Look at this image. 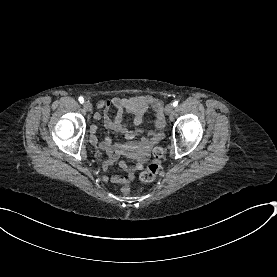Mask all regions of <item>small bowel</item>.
<instances>
[{
  "label": "small bowel",
  "instance_id": "small-bowel-1",
  "mask_svg": "<svg viewBox=\"0 0 277 277\" xmlns=\"http://www.w3.org/2000/svg\"><path fill=\"white\" fill-rule=\"evenodd\" d=\"M116 108L114 116L109 113L112 112L113 107ZM100 107L104 108V124L107 128L116 130L117 132L127 135L130 138H135L142 134L141 130H129L123 122L124 114L130 113L133 115V123L139 126L143 122L144 114L151 108L155 115V125L164 127V110L163 103L157 97L152 95H140L132 97H112L103 98L99 102ZM100 115L96 114L95 119H99ZM95 129H91L90 141L92 144H98L99 148L107 150L109 153V159L105 164L108 167L112 164L118 157L121 147L119 144H112L109 139H104L100 143H97V139L94 135ZM158 139L155 138L152 132H148L145 137L140 141H131L123 145L124 150L128 151H139L138 163L135 165H128L126 163H121V168L125 172V175H115L112 176L109 181L113 184H129L134 175L142 168V164L145 161L146 149L149 148Z\"/></svg>",
  "mask_w": 277,
  "mask_h": 277
}]
</instances>
